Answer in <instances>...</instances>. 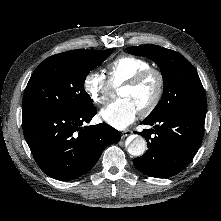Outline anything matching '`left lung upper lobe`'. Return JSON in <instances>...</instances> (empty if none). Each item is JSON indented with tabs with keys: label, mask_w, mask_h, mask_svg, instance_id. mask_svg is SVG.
I'll return each instance as SVG.
<instances>
[{
	"label": "left lung upper lobe",
	"mask_w": 221,
	"mask_h": 221,
	"mask_svg": "<svg viewBox=\"0 0 221 221\" xmlns=\"http://www.w3.org/2000/svg\"><path fill=\"white\" fill-rule=\"evenodd\" d=\"M133 55L153 60L161 69L164 81L162 98L149 116L173 112L206 114V95L197 71L181 54L157 45L127 48Z\"/></svg>",
	"instance_id": "5c2ea615"
}]
</instances>
